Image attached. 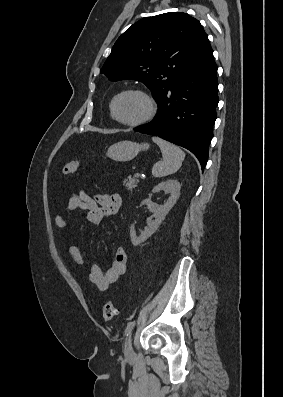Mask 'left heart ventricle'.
Masks as SVG:
<instances>
[{
	"label": "left heart ventricle",
	"instance_id": "b2bd125f",
	"mask_svg": "<svg viewBox=\"0 0 283 397\" xmlns=\"http://www.w3.org/2000/svg\"><path fill=\"white\" fill-rule=\"evenodd\" d=\"M148 110L147 102L138 94L121 96L116 103L117 116L125 121H135L143 117Z\"/></svg>",
	"mask_w": 283,
	"mask_h": 397
}]
</instances>
